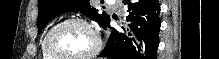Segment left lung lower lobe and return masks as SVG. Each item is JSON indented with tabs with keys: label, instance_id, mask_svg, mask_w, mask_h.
<instances>
[{
	"label": "left lung lower lobe",
	"instance_id": "obj_1",
	"mask_svg": "<svg viewBox=\"0 0 219 59\" xmlns=\"http://www.w3.org/2000/svg\"><path fill=\"white\" fill-rule=\"evenodd\" d=\"M128 16L121 29L112 28L99 57L109 59H156L159 45L158 0H124ZM110 27V19L103 25Z\"/></svg>",
	"mask_w": 219,
	"mask_h": 59
}]
</instances>
